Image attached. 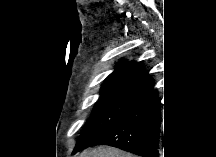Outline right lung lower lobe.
Masks as SVG:
<instances>
[{
	"instance_id": "obj_1",
	"label": "right lung lower lobe",
	"mask_w": 216,
	"mask_h": 157,
	"mask_svg": "<svg viewBox=\"0 0 216 157\" xmlns=\"http://www.w3.org/2000/svg\"><path fill=\"white\" fill-rule=\"evenodd\" d=\"M162 128V105L153 83L135 93L120 121L93 145H109L141 157H161Z\"/></svg>"
}]
</instances>
